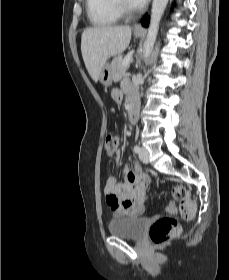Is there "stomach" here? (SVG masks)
I'll list each match as a JSON object with an SVG mask.
<instances>
[{
	"label": "stomach",
	"instance_id": "obj_1",
	"mask_svg": "<svg viewBox=\"0 0 229 280\" xmlns=\"http://www.w3.org/2000/svg\"><path fill=\"white\" fill-rule=\"evenodd\" d=\"M141 35L142 33L135 32L136 37H140ZM99 80L105 87H108L112 84L113 78L110 64H105L99 75Z\"/></svg>",
	"mask_w": 229,
	"mask_h": 280
}]
</instances>
